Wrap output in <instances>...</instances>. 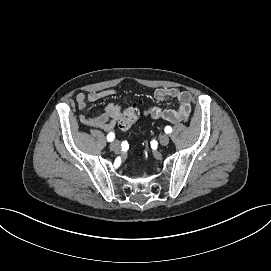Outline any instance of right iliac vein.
<instances>
[{
	"label": "right iliac vein",
	"mask_w": 271,
	"mask_h": 271,
	"mask_svg": "<svg viewBox=\"0 0 271 271\" xmlns=\"http://www.w3.org/2000/svg\"><path fill=\"white\" fill-rule=\"evenodd\" d=\"M119 148H120V144H119L118 141H113V142L111 143V145H110L111 151L116 152V151L119 150Z\"/></svg>",
	"instance_id": "right-iliac-vein-1"
}]
</instances>
